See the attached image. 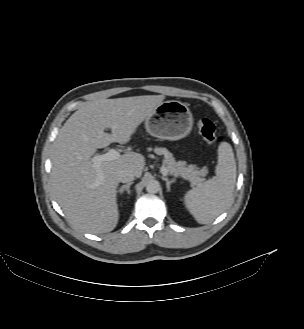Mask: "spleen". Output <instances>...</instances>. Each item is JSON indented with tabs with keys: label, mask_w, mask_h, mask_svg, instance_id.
<instances>
[{
	"label": "spleen",
	"mask_w": 304,
	"mask_h": 329,
	"mask_svg": "<svg viewBox=\"0 0 304 329\" xmlns=\"http://www.w3.org/2000/svg\"><path fill=\"white\" fill-rule=\"evenodd\" d=\"M216 176L189 190L184 203L200 224L212 222L230 204L236 183V161L232 147L222 142L218 147Z\"/></svg>",
	"instance_id": "obj_1"
}]
</instances>
